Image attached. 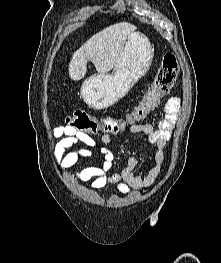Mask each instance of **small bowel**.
<instances>
[{"label": "small bowel", "instance_id": "obj_1", "mask_svg": "<svg viewBox=\"0 0 221 263\" xmlns=\"http://www.w3.org/2000/svg\"><path fill=\"white\" fill-rule=\"evenodd\" d=\"M180 103L181 100L178 96L171 97L165 105L164 118L156 125L132 124L129 127L130 133L144 135L146 141L156 147L155 166L144 177L135 173L134 170L139 161L133 155L127 158L126 167L121 172L109 173L114 163V154L108 148L109 145L113 144V139L107 134L102 136L101 141H96L88 135L77 133L68 127H57L52 130V135L59 139L55 148V155L62 157L61 166L64 169L75 165L80 158H92L96 154L100 155V166H88L73 175L76 181L89 182V190L97 191L113 184L118 192L124 195L140 192L151 186L162 172L165 157L164 148L171 139L180 112ZM78 145L83 146L65 153L66 149Z\"/></svg>", "mask_w": 221, "mask_h": 263}]
</instances>
